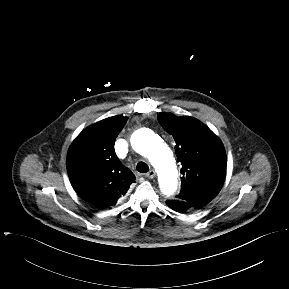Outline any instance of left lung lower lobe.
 Segmentation results:
<instances>
[{
    "mask_svg": "<svg viewBox=\"0 0 289 289\" xmlns=\"http://www.w3.org/2000/svg\"><path fill=\"white\" fill-rule=\"evenodd\" d=\"M166 203L171 209L179 213L191 212L203 207V205L201 204L184 201L180 199L167 200Z\"/></svg>",
    "mask_w": 289,
    "mask_h": 289,
    "instance_id": "obj_1",
    "label": "left lung lower lobe"
}]
</instances>
